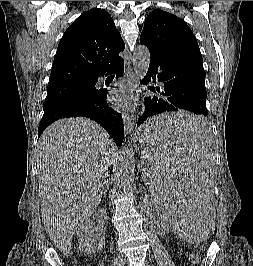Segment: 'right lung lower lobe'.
I'll return each mask as SVG.
<instances>
[{
  "instance_id": "obj_1",
  "label": "right lung lower lobe",
  "mask_w": 253,
  "mask_h": 266,
  "mask_svg": "<svg viewBox=\"0 0 253 266\" xmlns=\"http://www.w3.org/2000/svg\"><path fill=\"white\" fill-rule=\"evenodd\" d=\"M123 72L124 61L122 60L101 76L107 75L109 73H116V77L118 78L123 75ZM92 81L94 82V84H96L98 77L93 79ZM107 93L108 91L105 89L97 90L91 101L74 109L73 111L55 115L50 120L42 119L38 128V137L41 136L42 132L46 129L47 126H49L56 120L65 117L83 116L99 123L103 128L106 129L115 143L118 146H121L124 137V125L122 116L107 104Z\"/></svg>"
}]
</instances>
